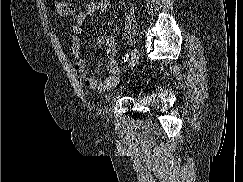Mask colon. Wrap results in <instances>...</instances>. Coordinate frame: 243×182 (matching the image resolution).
Returning a JSON list of instances; mask_svg holds the SVG:
<instances>
[{
  "label": "colon",
  "mask_w": 243,
  "mask_h": 182,
  "mask_svg": "<svg viewBox=\"0 0 243 182\" xmlns=\"http://www.w3.org/2000/svg\"><path fill=\"white\" fill-rule=\"evenodd\" d=\"M56 10L59 16L69 17L73 13V5L68 1L59 2L56 5Z\"/></svg>",
  "instance_id": "colon-1"
}]
</instances>
